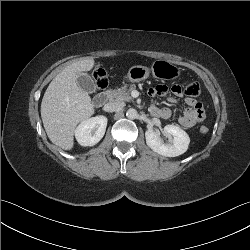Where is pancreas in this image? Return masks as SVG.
<instances>
[{
	"label": "pancreas",
	"mask_w": 250,
	"mask_h": 250,
	"mask_svg": "<svg viewBox=\"0 0 250 250\" xmlns=\"http://www.w3.org/2000/svg\"><path fill=\"white\" fill-rule=\"evenodd\" d=\"M135 88V85H130V87L124 86L119 89H112L108 92V95L111 101L131 102L133 101V98L131 97V91Z\"/></svg>",
	"instance_id": "pancreas-1"
}]
</instances>
